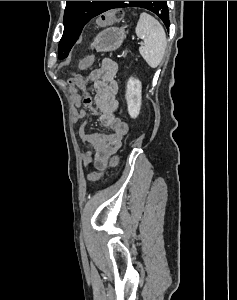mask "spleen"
I'll return each instance as SVG.
<instances>
[{
	"mask_svg": "<svg viewBox=\"0 0 237 300\" xmlns=\"http://www.w3.org/2000/svg\"><path fill=\"white\" fill-rule=\"evenodd\" d=\"M135 33L139 39H143V45L139 47L140 55L151 69H156L160 65L167 47L162 25L148 13H141Z\"/></svg>",
	"mask_w": 237,
	"mask_h": 300,
	"instance_id": "3e777b00",
	"label": "spleen"
}]
</instances>
